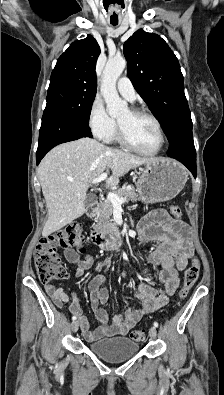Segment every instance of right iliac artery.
Returning a JSON list of instances; mask_svg holds the SVG:
<instances>
[{
    "mask_svg": "<svg viewBox=\"0 0 224 395\" xmlns=\"http://www.w3.org/2000/svg\"><path fill=\"white\" fill-rule=\"evenodd\" d=\"M76 318H77L76 316H73V317H72V320L74 321V320H76Z\"/></svg>",
    "mask_w": 224,
    "mask_h": 395,
    "instance_id": "right-iliac-artery-1",
    "label": "right iliac artery"
}]
</instances>
